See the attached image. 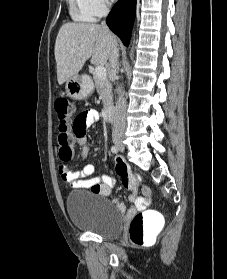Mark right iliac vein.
Listing matches in <instances>:
<instances>
[{
	"label": "right iliac vein",
	"mask_w": 227,
	"mask_h": 279,
	"mask_svg": "<svg viewBox=\"0 0 227 279\" xmlns=\"http://www.w3.org/2000/svg\"><path fill=\"white\" fill-rule=\"evenodd\" d=\"M114 144L120 149V150H124V144L122 142L121 139L116 138L114 139Z\"/></svg>",
	"instance_id": "1"
}]
</instances>
